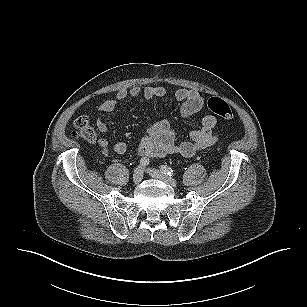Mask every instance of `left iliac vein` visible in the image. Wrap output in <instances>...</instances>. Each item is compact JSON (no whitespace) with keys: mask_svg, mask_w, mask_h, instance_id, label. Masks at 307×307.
I'll list each match as a JSON object with an SVG mask.
<instances>
[{"mask_svg":"<svg viewBox=\"0 0 307 307\" xmlns=\"http://www.w3.org/2000/svg\"><path fill=\"white\" fill-rule=\"evenodd\" d=\"M153 178L163 181L164 183L168 184L169 186L176 188L177 182L173 178L163 174L162 172L156 169H147L146 170Z\"/></svg>","mask_w":307,"mask_h":307,"instance_id":"left-iliac-vein-1","label":"left iliac vein"}]
</instances>
